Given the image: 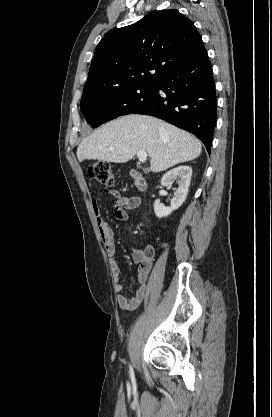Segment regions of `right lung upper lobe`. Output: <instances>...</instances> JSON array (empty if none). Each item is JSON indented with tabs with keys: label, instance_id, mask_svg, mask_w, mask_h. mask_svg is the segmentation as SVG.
<instances>
[{
	"label": "right lung upper lobe",
	"instance_id": "obj_1",
	"mask_svg": "<svg viewBox=\"0 0 272 417\" xmlns=\"http://www.w3.org/2000/svg\"><path fill=\"white\" fill-rule=\"evenodd\" d=\"M194 24L177 10H160L110 30L97 45L83 95H103L154 83L201 46Z\"/></svg>",
	"mask_w": 272,
	"mask_h": 417
}]
</instances>
